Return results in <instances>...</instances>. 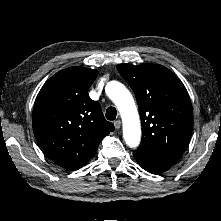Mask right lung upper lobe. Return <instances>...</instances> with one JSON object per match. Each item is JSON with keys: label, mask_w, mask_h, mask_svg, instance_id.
<instances>
[{"label": "right lung upper lobe", "mask_w": 221, "mask_h": 221, "mask_svg": "<svg viewBox=\"0 0 221 221\" xmlns=\"http://www.w3.org/2000/svg\"><path fill=\"white\" fill-rule=\"evenodd\" d=\"M97 70L70 67L53 75L41 88L33 108L36 140L59 166L76 170L97 152L103 137L114 130L88 89Z\"/></svg>", "instance_id": "obj_1"}]
</instances>
